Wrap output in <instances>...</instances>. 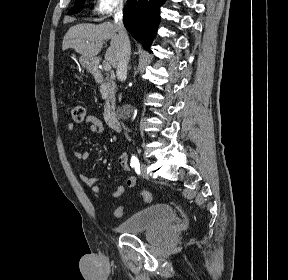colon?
I'll use <instances>...</instances> for the list:
<instances>
[{"mask_svg":"<svg viewBox=\"0 0 288 280\" xmlns=\"http://www.w3.org/2000/svg\"><path fill=\"white\" fill-rule=\"evenodd\" d=\"M68 111L70 113L71 118L75 122H82L85 117V108L82 105L79 104H71L68 106ZM140 197L142 198L143 201L145 202H150L151 201V194L147 191H143L140 194ZM125 212V207L124 206H118L114 210V215L116 217H121Z\"/></svg>","mask_w":288,"mask_h":280,"instance_id":"1","label":"colon"}]
</instances>
